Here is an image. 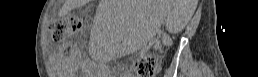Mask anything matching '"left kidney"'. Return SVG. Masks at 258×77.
Wrapping results in <instances>:
<instances>
[{
    "mask_svg": "<svg viewBox=\"0 0 258 77\" xmlns=\"http://www.w3.org/2000/svg\"><path fill=\"white\" fill-rule=\"evenodd\" d=\"M197 0L194 1V5H196ZM195 11V6L191 8V10L184 12L183 10H180V12L177 10L175 11V14L173 15V24L181 23L185 25L191 18L193 12Z\"/></svg>",
    "mask_w": 258,
    "mask_h": 77,
    "instance_id": "left-kidney-1",
    "label": "left kidney"
}]
</instances>
